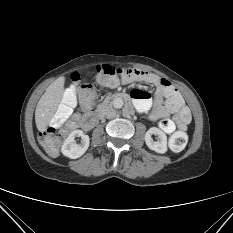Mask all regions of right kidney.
I'll return each instance as SVG.
<instances>
[{
  "label": "right kidney",
  "instance_id": "right-kidney-1",
  "mask_svg": "<svg viewBox=\"0 0 233 233\" xmlns=\"http://www.w3.org/2000/svg\"><path fill=\"white\" fill-rule=\"evenodd\" d=\"M76 137H81V143L77 144L75 142ZM89 143L90 139L88 135H85L82 130H74L65 139L61 152L66 157L77 159L87 151Z\"/></svg>",
  "mask_w": 233,
  "mask_h": 233
}]
</instances>
